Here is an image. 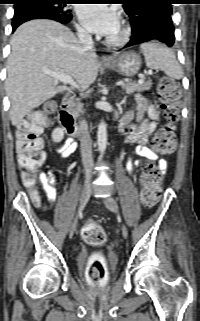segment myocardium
Here are the masks:
<instances>
[{
  "instance_id": "myocardium-1",
  "label": "myocardium",
  "mask_w": 200,
  "mask_h": 321,
  "mask_svg": "<svg viewBox=\"0 0 200 321\" xmlns=\"http://www.w3.org/2000/svg\"><path fill=\"white\" fill-rule=\"evenodd\" d=\"M131 37V28L123 23L120 25V34L117 37H107L105 42L110 47H121L125 45Z\"/></svg>"
}]
</instances>
